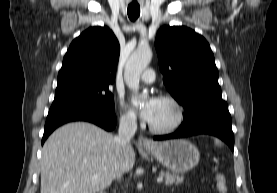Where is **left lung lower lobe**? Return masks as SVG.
<instances>
[{
	"label": "left lung lower lobe",
	"instance_id": "0a47b994",
	"mask_svg": "<svg viewBox=\"0 0 277 193\" xmlns=\"http://www.w3.org/2000/svg\"><path fill=\"white\" fill-rule=\"evenodd\" d=\"M197 134L214 135L226 142L234 150V134L227 103L223 100H210L200 103L190 113L178 131L168 135L155 136L154 140H168Z\"/></svg>",
	"mask_w": 277,
	"mask_h": 193
}]
</instances>
